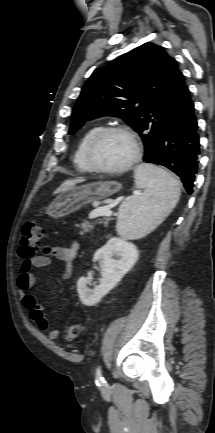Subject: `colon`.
I'll use <instances>...</instances> for the list:
<instances>
[{"label":"colon","instance_id":"obj_1","mask_svg":"<svg viewBox=\"0 0 215 433\" xmlns=\"http://www.w3.org/2000/svg\"><path fill=\"white\" fill-rule=\"evenodd\" d=\"M43 238V228L35 220L26 222L22 228L20 255L22 257L32 256L40 246ZM82 326L80 324L69 325L66 329V338L74 340L80 336Z\"/></svg>","mask_w":215,"mask_h":433}]
</instances>
